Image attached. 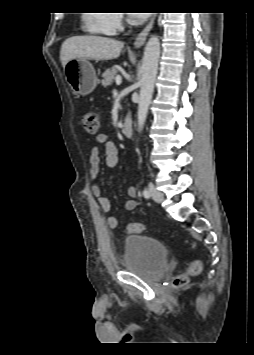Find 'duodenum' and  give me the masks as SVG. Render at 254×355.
<instances>
[{"mask_svg":"<svg viewBox=\"0 0 254 355\" xmlns=\"http://www.w3.org/2000/svg\"><path fill=\"white\" fill-rule=\"evenodd\" d=\"M133 124L129 118H126L123 122L122 125V132L126 137H132L133 136Z\"/></svg>","mask_w":254,"mask_h":355,"instance_id":"1","label":"duodenum"}]
</instances>
